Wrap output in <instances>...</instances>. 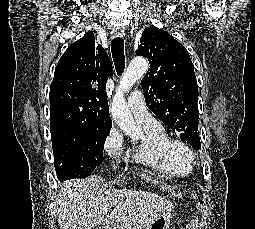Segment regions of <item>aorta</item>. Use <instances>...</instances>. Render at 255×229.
<instances>
[{
    "label": "aorta",
    "instance_id": "762f6f07",
    "mask_svg": "<svg viewBox=\"0 0 255 229\" xmlns=\"http://www.w3.org/2000/svg\"><path fill=\"white\" fill-rule=\"evenodd\" d=\"M147 69L148 64L146 59L141 57L133 59L121 78L120 85L111 104V112L114 120L118 126L133 139H138L140 137L141 130L134 121L123 96V92L140 79L146 73Z\"/></svg>",
    "mask_w": 255,
    "mask_h": 229
}]
</instances>
